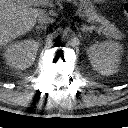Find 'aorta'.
Returning a JSON list of instances; mask_svg holds the SVG:
<instances>
[{
  "label": "aorta",
  "instance_id": "obj_1",
  "mask_svg": "<svg viewBox=\"0 0 128 128\" xmlns=\"http://www.w3.org/2000/svg\"><path fill=\"white\" fill-rule=\"evenodd\" d=\"M73 38V33L70 29H64L61 32V40L69 42Z\"/></svg>",
  "mask_w": 128,
  "mask_h": 128
}]
</instances>
